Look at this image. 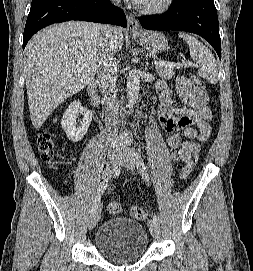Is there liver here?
<instances>
[{
	"label": "liver",
	"mask_w": 253,
	"mask_h": 271,
	"mask_svg": "<svg viewBox=\"0 0 253 271\" xmlns=\"http://www.w3.org/2000/svg\"><path fill=\"white\" fill-rule=\"evenodd\" d=\"M99 24L68 21L36 33L24 51L30 117L39 129L67 98L91 83L103 50ZM113 53L123 46V33L114 27Z\"/></svg>",
	"instance_id": "1"
}]
</instances>
